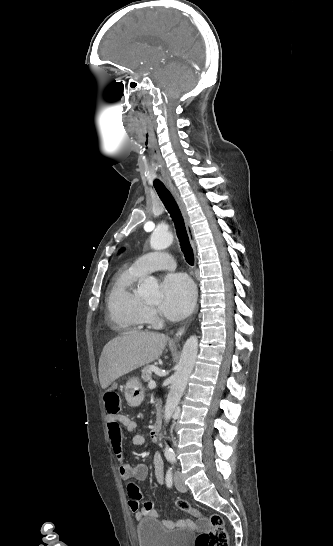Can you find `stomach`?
Segmentation results:
<instances>
[{"mask_svg": "<svg viewBox=\"0 0 333 546\" xmlns=\"http://www.w3.org/2000/svg\"><path fill=\"white\" fill-rule=\"evenodd\" d=\"M126 401L132 406H138L144 396V389L137 378H131L124 386Z\"/></svg>", "mask_w": 333, "mask_h": 546, "instance_id": "1", "label": "stomach"}]
</instances>
